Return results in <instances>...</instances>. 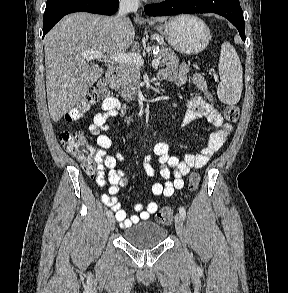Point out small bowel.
Here are the masks:
<instances>
[{"label":"small bowel","instance_id":"c3829d8e","mask_svg":"<svg viewBox=\"0 0 288 293\" xmlns=\"http://www.w3.org/2000/svg\"><path fill=\"white\" fill-rule=\"evenodd\" d=\"M188 66L183 63L174 72L161 71L159 77L169 80L178 86H183L188 82ZM192 83L200 90L201 96L192 97L187 102V110L183 119V125L186 126L194 120L205 118L209 123L217 128V131L209 137L208 145L197 154H186L183 159L171 155L169 145L165 142H158L153 146V155L157 157L160 170L159 174L164 182H155L151 186V192L155 196L171 197L176 190L184 186V176L193 168L204 167L210 158L225 143L226 138L232 132V126L225 122L218 111L213 93L209 89L204 77L195 73L191 77ZM123 111L121 103L116 98L106 99L101 111L95 114L93 122L89 125V133L96 138L98 149L96 151V161L98 174L96 182L99 186H104L107 181L110 186L107 194L101 196V201L114 212L116 220L123 227H130L140 220H148L150 216L158 209L156 202H150L146 206L137 203L134 206L138 214L127 216L126 211L122 208L116 198L120 188L127 183V173L119 165L128 166V162L123 154L119 152L108 153L112 146L111 138L106 132L111 128L108 122L109 118L117 116ZM152 155H147L144 160V169L147 175L154 176L155 169L151 165Z\"/></svg>","mask_w":288,"mask_h":293}]
</instances>
